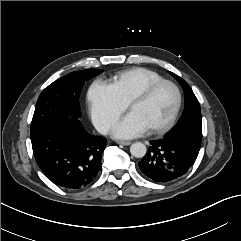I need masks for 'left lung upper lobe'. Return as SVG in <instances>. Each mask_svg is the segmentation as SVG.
Masks as SVG:
<instances>
[{"instance_id": "1", "label": "left lung upper lobe", "mask_w": 241, "mask_h": 241, "mask_svg": "<svg viewBox=\"0 0 241 241\" xmlns=\"http://www.w3.org/2000/svg\"><path fill=\"white\" fill-rule=\"evenodd\" d=\"M184 90L185 111L178 125L164 139L181 144L190 153L197 156L202 141L201 109L199 102L188 83L172 73Z\"/></svg>"}]
</instances>
